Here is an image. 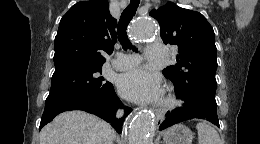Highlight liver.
Instances as JSON below:
<instances>
[{"label": "liver", "mask_w": 260, "mask_h": 144, "mask_svg": "<svg viewBox=\"0 0 260 144\" xmlns=\"http://www.w3.org/2000/svg\"><path fill=\"white\" fill-rule=\"evenodd\" d=\"M114 129L102 119L83 111L59 114L40 133V144H113Z\"/></svg>", "instance_id": "obj_1"}]
</instances>
